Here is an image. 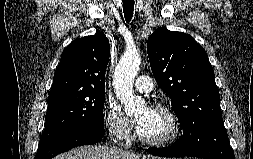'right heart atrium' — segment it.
<instances>
[{
    "label": "right heart atrium",
    "mask_w": 253,
    "mask_h": 159,
    "mask_svg": "<svg viewBox=\"0 0 253 159\" xmlns=\"http://www.w3.org/2000/svg\"><path fill=\"white\" fill-rule=\"evenodd\" d=\"M103 118L107 131L115 139L128 141L131 138L132 121L124 114L118 103L112 100L107 101Z\"/></svg>",
    "instance_id": "right-heart-atrium-1"
}]
</instances>
